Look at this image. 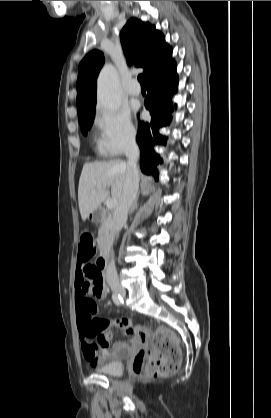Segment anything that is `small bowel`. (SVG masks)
<instances>
[{
    "mask_svg": "<svg viewBox=\"0 0 271 418\" xmlns=\"http://www.w3.org/2000/svg\"><path fill=\"white\" fill-rule=\"evenodd\" d=\"M107 289L102 279V267L93 261L76 263L74 298L78 332L84 358L93 366H102L107 360L122 357L139 346L146 338L142 327H133L132 320L126 317L112 322L105 320L100 313L98 300L106 297ZM111 327L119 328L128 335H135L132 345L117 342L110 345L113 338Z\"/></svg>",
    "mask_w": 271,
    "mask_h": 418,
    "instance_id": "obj_1",
    "label": "small bowel"
}]
</instances>
